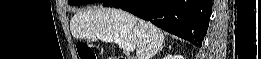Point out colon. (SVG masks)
<instances>
[{
  "label": "colon",
  "instance_id": "5ec220e1",
  "mask_svg": "<svg viewBox=\"0 0 261 59\" xmlns=\"http://www.w3.org/2000/svg\"><path fill=\"white\" fill-rule=\"evenodd\" d=\"M77 52L80 59H96L94 50L85 43H79L77 45Z\"/></svg>",
  "mask_w": 261,
  "mask_h": 59
}]
</instances>
